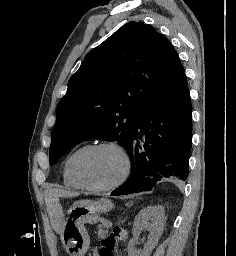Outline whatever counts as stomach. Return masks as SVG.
<instances>
[{"label": "stomach", "instance_id": "0dacf381", "mask_svg": "<svg viewBox=\"0 0 236 256\" xmlns=\"http://www.w3.org/2000/svg\"><path fill=\"white\" fill-rule=\"evenodd\" d=\"M111 209L112 202L108 199L79 200L72 205L63 233L65 248L69 255H85L90 240L84 225L97 223L100 213L108 212Z\"/></svg>", "mask_w": 236, "mask_h": 256}]
</instances>
